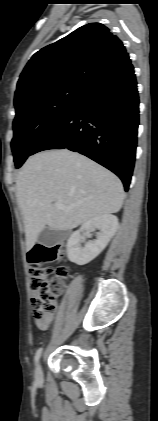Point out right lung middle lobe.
<instances>
[{
	"label": "right lung middle lobe",
	"instance_id": "right-lung-middle-lobe-1",
	"mask_svg": "<svg viewBox=\"0 0 158 421\" xmlns=\"http://www.w3.org/2000/svg\"><path fill=\"white\" fill-rule=\"evenodd\" d=\"M84 86H60L27 96L15 103L11 148L19 168L36 145L68 112Z\"/></svg>",
	"mask_w": 158,
	"mask_h": 421
}]
</instances>
